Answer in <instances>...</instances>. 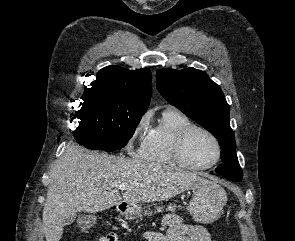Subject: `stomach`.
Here are the masks:
<instances>
[{
	"label": "stomach",
	"mask_w": 295,
	"mask_h": 241,
	"mask_svg": "<svg viewBox=\"0 0 295 241\" xmlns=\"http://www.w3.org/2000/svg\"><path fill=\"white\" fill-rule=\"evenodd\" d=\"M192 198L188 205V211L193 219L201 224H208L220 218L223 206L227 202V195L219 184L209 181L192 189ZM123 203L117 205L118 211L128 219H134L142 215V208L138 204Z\"/></svg>",
	"instance_id": "obj_1"
}]
</instances>
